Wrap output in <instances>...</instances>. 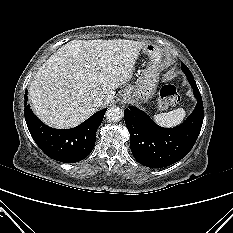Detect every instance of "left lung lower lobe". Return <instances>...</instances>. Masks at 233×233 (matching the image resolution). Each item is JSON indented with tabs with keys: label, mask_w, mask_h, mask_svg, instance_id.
Listing matches in <instances>:
<instances>
[{
	"label": "left lung lower lobe",
	"mask_w": 233,
	"mask_h": 233,
	"mask_svg": "<svg viewBox=\"0 0 233 233\" xmlns=\"http://www.w3.org/2000/svg\"><path fill=\"white\" fill-rule=\"evenodd\" d=\"M197 104L192 114L175 128L158 126L134 106L124 111L134 158L150 168H161L181 160L194 146L203 123V102L193 77H187Z\"/></svg>",
	"instance_id": "1"
}]
</instances>
